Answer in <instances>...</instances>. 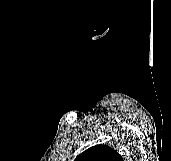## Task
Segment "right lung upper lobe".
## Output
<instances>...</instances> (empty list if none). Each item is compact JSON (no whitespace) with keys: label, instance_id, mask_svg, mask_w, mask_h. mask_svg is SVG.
Returning <instances> with one entry per match:
<instances>
[{"label":"right lung upper lobe","instance_id":"cb5924a9","mask_svg":"<svg viewBox=\"0 0 171 161\" xmlns=\"http://www.w3.org/2000/svg\"><path fill=\"white\" fill-rule=\"evenodd\" d=\"M74 161H124L123 158L108 145H96L78 155Z\"/></svg>","mask_w":171,"mask_h":161}]
</instances>
